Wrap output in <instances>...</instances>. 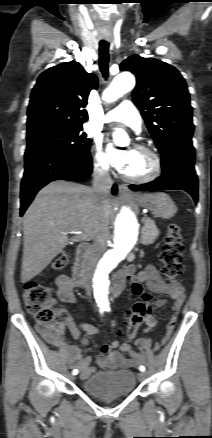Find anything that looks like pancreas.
<instances>
[{
	"label": "pancreas",
	"mask_w": 212,
	"mask_h": 438,
	"mask_svg": "<svg viewBox=\"0 0 212 438\" xmlns=\"http://www.w3.org/2000/svg\"><path fill=\"white\" fill-rule=\"evenodd\" d=\"M159 230L155 225V222L150 218L144 219V226L141 230V243L143 245H150L155 242L159 236Z\"/></svg>",
	"instance_id": "obj_1"
}]
</instances>
